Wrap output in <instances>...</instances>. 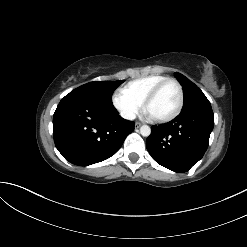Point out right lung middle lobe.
I'll return each mask as SVG.
<instances>
[{
	"mask_svg": "<svg viewBox=\"0 0 247 247\" xmlns=\"http://www.w3.org/2000/svg\"><path fill=\"white\" fill-rule=\"evenodd\" d=\"M123 82L124 80L94 81L74 89L66 96L77 97L89 102L112 104V94Z\"/></svg>",
	"mask_w": 247,
	"mask_h": 247,
	"instance_id": "dd1d6c3e",
	"label": "right lung middle lobe"
}]
</instances>
